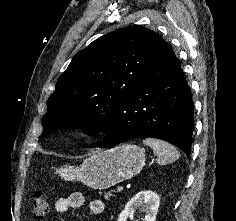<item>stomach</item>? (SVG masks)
Segmentation results:
<instances>
[{"label":"stomach","mask_w":236,"mask_h":221,"mask_svg":"<svg viewBox=\"0 0 236 221\" xmlns=\"http://www.w3.org/2000/svg\"><path fill=\"white\" fill-rule=\"evenodd\" d=\"M145 165L142 148L124 144L93 154L80 166L66 165L58 170L67 181H78L92 189H107L136 176Z\"/></svg>","instance_id":"0dacf381"}]
</instances>
